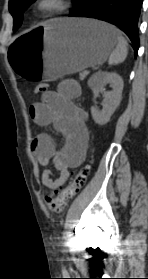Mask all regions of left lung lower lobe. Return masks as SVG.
Segmentation results:
<instances>
[{
    "mask_svg": "<svg viewBox=\"0 0 148 279\" xmlns=\"http://www.w3.org/2000/svg\"><path fill=\"white\" fill-rule=\"evenodd\" d=\"M143 0H79L71 17H90L109 22L123 30L139 49L138 20Z\"/></svg>",
    "mask_w": 148,
    "mask_h": 279,
    "instance_id": "left-lung-lower-lobe-1",
    "label": "left lung lower lobe"
}]
</instances>
